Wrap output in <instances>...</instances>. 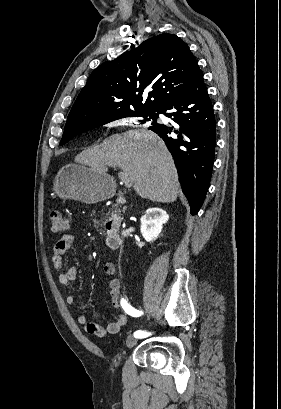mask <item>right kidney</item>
Wrapping results in <instances>:
<instances>
[{
	"mask_svg": "<svg viewBox=\"0 0 281 409\" xmlns=\"http://www.w3.org/2000/svg\"><path fill=\"white\" fill-rule=\"evenodd\" d=\"M169 215L159 207H150L145 215L141 217V235L145 241H155L158 239L164 223H167Z\"/></svg>",
	"mask_w": 281,
	"mask_h": 409,
	"instance_id": "ca27d5eb",
	"label": "right kidney"
}]
</instances>
